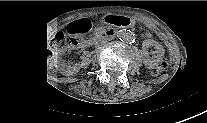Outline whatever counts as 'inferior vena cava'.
Here are the masks:
<instances>
[{
  "mask_svg": "<svg viewBox=\"0 0 207 123\" xmlns=\"http://www.w3.org/2000/svg\"><path fill=\"white\" fill-rule=\"evenodd\" d=\"M108 44V41L106 39H101L98 45H104L106 46Z\"/></svg>",
  "mask_w": 207,
  "mask_h": 123,
  "instance_id": "inferior-vena-cava-1",
  "label": "inferior vena cava"
}]
</instances>
